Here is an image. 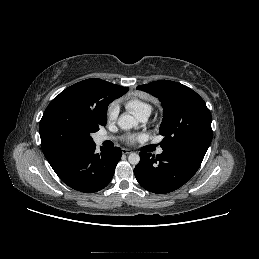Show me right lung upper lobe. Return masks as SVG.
I'll use <instances>...</instances> for the list:
<instances>
[{"label":"right lung upper lobe","mask_w":259,"mask_h":259,"mask_svg":"<svg viewBox=\"0 0 259 259\" xmlns=\"http://www.w3.org/2000/svg\"><path fill=\"white\" fill-rule=\"evenodd\" d=\"M128 90L129 88L127 87L115 85L97 78L78 82L62 91L51 101L43 114L40 126L42 127L50 111L59 104L68 105L77 111L93 116L100 122H104L106 121L108 105L114 99L121 97ZM41 134L42 130L40 137ZM41 148L47 160L57 152L43 148L42 139Z\"/></svg>","instance_id":"right-lung-upper-lobe-1"}]
</instances>
